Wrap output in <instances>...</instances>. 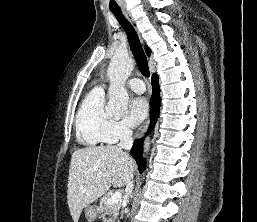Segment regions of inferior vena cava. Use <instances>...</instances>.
Returning a JSON list of instances; mask_svg holds the SVG:
<instances>
[{"label":"inferior vena cava","mask_w":257,"mask_h":222,"mask_svg":"<svg viewBox=\"0 0 257 222\" xmlns=\"http://www.w3.org/2000/svg\"><path fill=\"white\" fill-rule=\"evenodd\" d=\"M133 132L131 129L125 127L122 130L121 136H120V142L118 144V147L121 149L130 150L133 145V138H132ZM133 190V180L131 179L125 189L126 197L129 198L131 196Z\"/></svg>","instance_id":"inferior-vena-cava-1"}]
</instances>
